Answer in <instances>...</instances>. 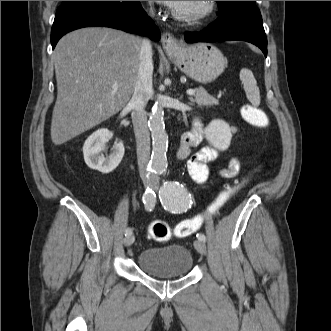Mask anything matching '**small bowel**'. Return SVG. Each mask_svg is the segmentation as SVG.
<instances>
[{"mask_svg": "<svg viewBox=\"0 0 331 331\" xmlns=\"http://www.w3.org/2000/svg\"><path fill=\"white\" fill-rule=\"evenodd\" d=\"M203 137V124L200 119H195L192 128L181 137L180 146L177 150L179 159H187V169L191 178L197 183H204L210 175L209 164L216 160L218 152L210 146H204L191 154V149L198 146ZM240 171V163L232 158L228 165L219 170L223 178H234Z\"/></svg>", "mask_w": 331, "mask_h": 331, "instance_id": "c3829d8e", "label": "small bowel"}]
</instances>
